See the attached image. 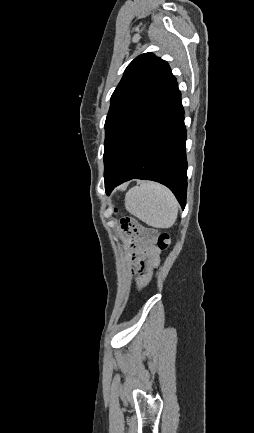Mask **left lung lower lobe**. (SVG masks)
Here are the masks:
<instances>
[{
	"label": "left lung lower lobe",
	"mask_w": 254,
	"mask_h": 433,
	"mask_svg": "<svg viewBox=\"0 0 254 433\" xmlns=\"http://www.w3.org/2000/svg\"><path fill=\"white\" fill-rule=\"evenodd\" d=\"M186 129L177 82L137 132L123 160L105 181L107 195L115 186L134 179L164 184L182 209L186 204Z\"/></svg>",
	"instance_id": "left-lung-lower-lobe-1"
}]
</instances>
